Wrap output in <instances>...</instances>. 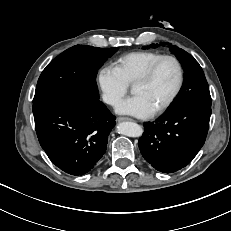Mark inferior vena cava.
I'll list each match as a JSON object with an SVG mask.
<instances>
[{"instance_id":"602c4592","label":"inferior vena cava","mask_w":231,"mask_h":231,"mask_svg":"<svg viewBox=\"0 0 231 231\" xmlns=\"http://www.w3.org/2000/svg\"><path fill=\"white\" fill-rule=\"evenodd\" d=\"M105 101H106L107 103H113V102H114V99L111 98V97H108V98L105 99Z\"/></svg>"}]
</instances>
